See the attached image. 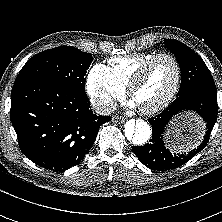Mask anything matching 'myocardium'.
Returning <instances> with one entry per match:
<instances>
[{
    "label": "myocardium",
    "instance_id": "obj_1",
    "mask_svg": "<svg viewBox=\"0 0 222 222\" xmlns=\"http://www.w3.org/2000/svg\"><path fill=\"white\" fill-rule=\"evenodd\" d=\"M163 58L169 59L173 62L174 66H175V80H174L173 86L170 89V91L168 92V94L159 103H157L153 106H150V107H142L141 108V111L145 114H154V113L161 111L162 109L167 107L169 105V103L172 101V99L175 97V95L179 89L180 82H181V66H180L179 61L177 60V58L174 55L169 54V53L156 54L155 56H153L152 58H150L149 60L144 62L138 68V70L135 72V74L133 75V77L131 78V80L129 81V84L127 86L129 96L133 97V93H134L136 87L143 80L149 67L155 61H157L159 59H163Z\"/></svg>",
    "mask_w": 222,
    "mask_h": 222
}]
</instances>
